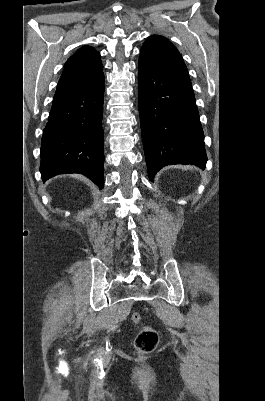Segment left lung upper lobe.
I'll return each mask as SVG.
<instances>
[{
  "label": "left lung upper lobe",
  "instance_id": "1",
  "mask_svg": "<svg viewBox=\"0 0 265 401\" xmlns=\"http://www.w3.org/2000/svg\"><path fill=\"white\" fill-rule=\"evenodd\" d=\"M139 60L169 72L188 74L187 67L179 51L166 38L153 35L143 44Z\"/></svg>",
  "mask_w": 265,
  "mask_h": 401
}]
</instances>
